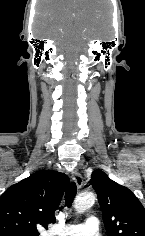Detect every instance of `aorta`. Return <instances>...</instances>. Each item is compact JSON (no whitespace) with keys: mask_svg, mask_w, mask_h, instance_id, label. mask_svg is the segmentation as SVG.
<instances>
[{"mask_svg":"<svg viewBox=\"0 0 145 236\" xmlns=\"http://www.w3.org/2000/svg\"><path fill=\"white\" fill-rule=\"evenodd\" d=\"M95 195L92 192H85L78 195L75 199L74 208L77 213H84L95 203Z\"/></svg>","mask_w":145,"mask_h":236,"instance_id":"obj_1","label":"aorta"}]
</instances>
